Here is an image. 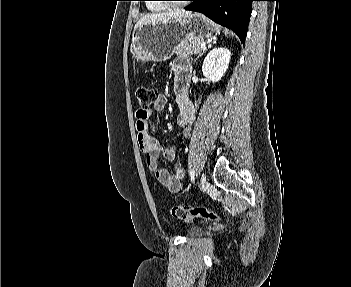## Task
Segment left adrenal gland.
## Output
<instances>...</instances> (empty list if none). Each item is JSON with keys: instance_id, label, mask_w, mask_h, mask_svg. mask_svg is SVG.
Listing matches in <instances>:
<instances>
[{"instance_id": "obj_1", "label": "left adrenal gland", "mask_w": 351, "mask_h": 287, "mask_svg": "<svg viewBox=\"0 0 351 287\" xmlns=\"http://www.w3.org/2000/svg\"><path fill=\"white\" fill-rule=\"evenodd\" d=\"M203 53H204V51H203ZM203 53H200V54L198 55V57L196 58V60H197ZM196 60H195V61H196Z\"/></svg>"}]
</instances>
